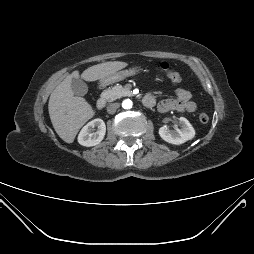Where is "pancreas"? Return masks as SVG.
Wrapping results in <instances>:
<instances>
[{"mask_svg": "<svg viewBox=\"0 0 254 254\" xmlns=\"http://www.w3.org/2000/svg\"><path fill=\"white\" fill-rule=\"evenodd\" d=\"M131 92L128 88L116 85L103 91L101 97L106 99L108 102L114 101L121 98L122 96H130Z\"/></svg>", "mask_w": 254, "mask_h": 254, "instance_id": "1", "label": "pancreas"}]
</instances>
